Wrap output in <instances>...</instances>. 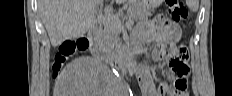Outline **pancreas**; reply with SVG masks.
Returning <instances> with one entry per match:
<instances>
[{
    "mask_svg": "<svg viewBox=\"0 0 232 96\" xmlns=\"http://www.w3.org/2000/svg\"><path fill=\"white\" fill-rule=\"evenodd\" d=\"M151 12L152 10L150 8L136 4L127 9L125 18L137 21L151 16ZM114 16L115 18H111L110 16H105L103 18L102 25L104 29L101 31L97 40V45L106 51H113L114 47L120 43V18L123 17V12L121 11L120 14Z\"/></svg>",
    "mask_w": 232,
    "mask_h": 96,
    "instance_id": "obj_1",
    "label": "pancreas"
}]
</instances>
